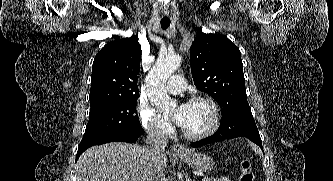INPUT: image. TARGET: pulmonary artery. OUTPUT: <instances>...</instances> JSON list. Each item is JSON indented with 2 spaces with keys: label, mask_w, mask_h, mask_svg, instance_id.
<instances>
[{
  "label": "pulmonary artery",
  "mask_w": 333,
  "mask_h": 181,
  "mask_svg": "<svg viewBox=\"0 0 333 181\" xmlns=\"http://www.w3.org/2000/svg\"><path fill=\"white\" fill-rule=\"evenodd\" d=\"M185 82L182 76L173 75L167 85V91L170 94H179L184 90Z\"/></svg>",
  "instance_id": "e3ab8cb5"
}]
</instances>
